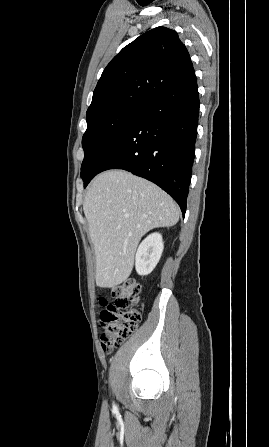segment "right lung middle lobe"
<instances>
[{
    "mask_svg": "<svg viewBox=\"0 0 269 447\" xmlns=\"http://www.w3.org/2000/svg\"><path fill=\"white\" fill-rule=\"evenodd\" d=\"M142 110V104L125 106L87 120V130L82 138L85 157L80 175L83 181L92 164Z\"/></svg>",
    "mask_w": 269,
    "mask_h": 447,
    "instance_id": "right-lung-middle-lobe-1",
    "label": "right lung middle lobe"
}]
</instances>
